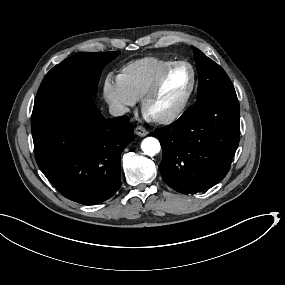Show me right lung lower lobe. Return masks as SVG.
I'll list each match as a JSON object with an SVG mask.
<instances>
[{
	"instance_id": "1",
	"label": "right lung lower lobe",
	"mask_w": 285,
	"mask_h": 285,
	"mask_svg": "<svg viewBox=\"0 0 285 285\" xmlns=\"http://www.w3.org/2000/svg\"><path fill=\"white\" fill-rule=\"evenodd\" d=\"M36 162L66 198L93 205L121 186L120 158L134 139L127 116L104 119L87 90L69 87L35 102Z\"/></svg>"
}]
</instances>
